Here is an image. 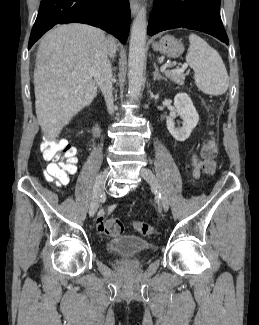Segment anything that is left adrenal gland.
<instances>
[{"label":"left adrenal gland","mask_w":259,"mask_h":325,"mask_svg":"<svg viewBox=\"0 0 259 325\" xmlns=\"http://www.w3.org/2000/svg\"><path fill=\"white\" fill-rule=\"evenodd\" d=\"M154 68H155V71L153 73V79H154V81H156V80H166L165 77H163V76H161L159 74V69H158V66H157L156 63L154 64Z\"/></svg>","instance_id":"left-adrenal-gland-1"}]
</instances>
